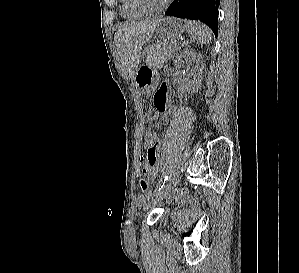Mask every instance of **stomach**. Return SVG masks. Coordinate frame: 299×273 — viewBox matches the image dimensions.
Wrapping results in <instances>:
<instances>
[{
  "label": "stomach",
  "instance_id": "obj_1",
  "mask_svg": "<svg viewBox=\"0 0 299 273\" xmlns=\"http://www.w3.org/2000/svg\"><path fill=\"white\" fill-rule=\"evenodd\" d=\"M185 30V25L179 19L175 18H164L161 19L160 23L156 27V35L162 41H172L182 35ZM135 82L139 90L148 94L155 81L158 78V73L152 67H135Z\"/></svg>",
  "mask_w": 299,
  "mask_h": 273
}]
</instances>
